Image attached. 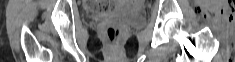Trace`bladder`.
<instances>
[{
    "mask_svg": "<svg viewBox=\"0 0 235 62\" xmlns=\"http://www.w3.org/2000/svg\"><path fill=\"white\" fill-rule=\"evenodd\" d=\"M116 16L134 26L140 25L144 21V17L140 11L128 3L120 4L116 11Z\"/></svg>",
    "mask_w": 235,
    "mask_h": 62,
    "instance_id": "bladder-1",
    "label": "bladder"
}]
</instances>
